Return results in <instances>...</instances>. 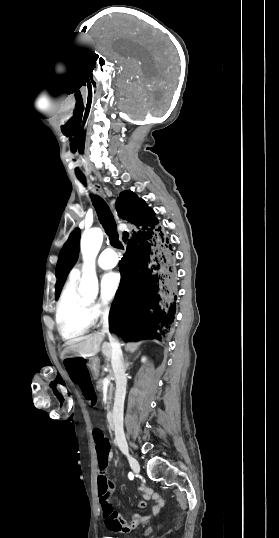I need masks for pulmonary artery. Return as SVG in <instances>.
I'll return each instance as SVG.
<instances>
[{
	"instance_id": "pulmonary-artery-1",
	"label": "pulmonary artery",
	"mask_w": 279,
	"mask_h": 538,
	"mask_svg": "<svg viewBox=\"0 0 279 538\" xmlns=\"http://www.w3.org/2000/svg\"><path fill=\"white\" fill-rule=\"evenodd\" d=\"M118 256L114 252L113 249H105L103 250L97 260L98 266L103 270H109L112 269L116 263L118 262ZM82 265L77 264L73 267L71 270V275L76 276L81 273Z\"/></svg>"
}]
</instances>
